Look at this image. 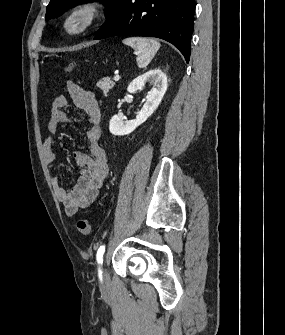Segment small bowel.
I'll return each instance as SVG.
<instances>
[{
  "label": "small bowel",
  "instance_id": "1",
  "mask_svg": "<svg viewBox=\"0 0 285 335\" xmlns=\"http://www.w3.org/2000/svg\"><path fill=\"white\" fill-rule=\"evenodd\" d=\"M67 89L73 104L87 115L88 126L85 129V137L90 154L75 153L74 157L81 168V175L71 189L64 188L58 177L52 178V186L57 199L64 205L65 213L74 216L97 199L109 173V162L105 150L99 144L101 112L94 94L72 81L67 83ZM67 107L68 100L64 95H58L52 101L47 124V130L51 135L57 134L61 125L71 122L66 112ZM43 154L48 164L54 163L56 152L52 137L45 139Z\"/></svg>",
  "mask_w": 285,
  "mask_h": 335
}]
</instances>
